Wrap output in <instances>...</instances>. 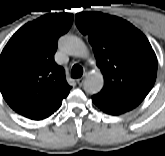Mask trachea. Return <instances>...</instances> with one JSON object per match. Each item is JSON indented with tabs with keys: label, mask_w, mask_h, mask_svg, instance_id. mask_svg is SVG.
Returning <instances> with one entry per match:
<instances>
[{
	"label": "trachea",
	"mask_w": 165,
	"mask_h": 156,
	"mask_svg": "<svg viewBox=\"0 0 165 156\" xmlns=\"http://www.w3.org/2000/svg\"><path fill=\"white\" fill-rule=\"evenodd\" d=\"M82 74H83V68L80 65L75 64L71 70L72 78H80Z\"/></svg>",
	"instance_id": "obj_1"
}]
</instances>
